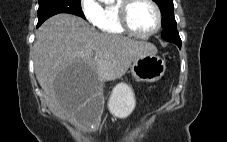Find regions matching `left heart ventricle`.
<instances>
[{
    "mask_svg": "<svg viewBox=\"0 0 227 142\" xmlns=\"http://www.w3.org/2000/svg\"><path fill=\"white\" fill-rule=\"evenodd\" d=\"M130 23L139 33L152 31L157 24L154 8L146 0H136L130 9Z\"/></svg>",
    "mask_w": 227,
    "mask_h": 142,
    "instance_id": "b2bd125f",
    "label": "left heart ventricle"
}]
</instances>
